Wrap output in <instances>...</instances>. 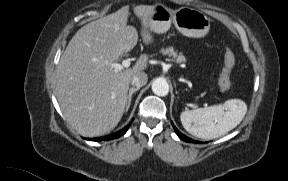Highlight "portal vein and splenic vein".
<instances>
[{
	"label": "portal vein and splenic vein",
	"instance_id": "obj_1",
	"mask_svg": "<svg viewBox=\"0 0 288 181\" xmlns=\"http://www.w3.org/2000/svg\"><path fill=\"white\" fill-rule=\"evenodd\" d=\"M131 65L130 59H125L122 61V63H111L110 66L114 68L116 71H121L124 68H128Z\"/></svg>",
	"mask_w": 288,
	"mask_h": 181
}]
</instances>
